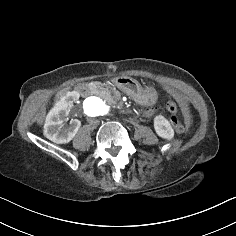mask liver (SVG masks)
<instances>
[{"instance_id":"obj_1","label":"liver","mask_w":236,"mask_h":236,"mask_svg":"<svg viewBox=\"0 0 236 236\" xmlns=\"http://www.w3.org/2000/svg\"><path fill=\"white\" fill-rule=\"evenodd\" d=\"M71 90V86L65 87L58 91L54 97V103L58 102V100L68 91Z\"/></svg>"}]
</instances>
